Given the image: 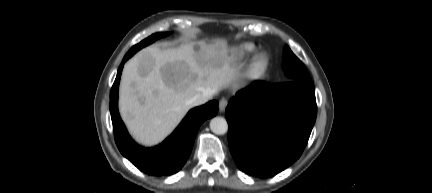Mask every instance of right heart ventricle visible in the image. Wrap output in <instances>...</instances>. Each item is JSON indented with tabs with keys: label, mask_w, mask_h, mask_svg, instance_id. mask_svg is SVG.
<instances>
[{
	"label": "right heart ventricle",
	"mask_w": 432,
	"mask_h": 193,
	"mask_svg": "<svg viewBox=\"0 0 432 193\" xmlns=\"http://www.w3.org/2000/svg\"><path fill=\"white\" fill-rule=\"evenodd\" d=\"M256 51V46L252 43H243L236 47L229 55L232 61H241L249 58Z\"/></svg>",
	"instance_id": "e07e8e85"
}]
</instances>
